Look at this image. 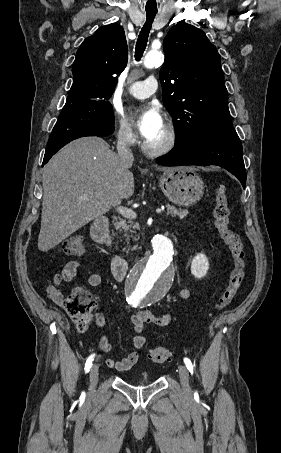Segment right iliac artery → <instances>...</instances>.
Wrapping results in <instances>:
<instances>
[{
  "instance_id": "82829eb1",
  "label": "right iliac artery",
  "mask_w": 281,
  "mask_h": 453,
  "mask_svg": "<svg viewBox=\"0 0 281 453\" xmlns=\"http://www.w3.org/2000/svg\"><path fill=\"white\" fill-rule=\"evenodd\" d=\"M94 356L95 354L89 356V358L87 359L86 363H85V372L88 373L91 366H92V361L94 360Z\"/></svg>"
}]
</instances>
